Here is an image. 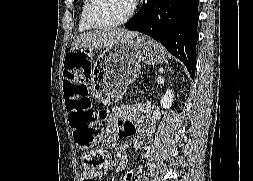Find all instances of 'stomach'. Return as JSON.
<instances>
[{
	"label": "stomach",
	"mask_w": 253,
	"mask_h": 181,
	"mask_svg": "<svg viewBox=\"0 0 253 181\" xmlns=\"http://www.w3.org/2000/svg\"><path fill=\"white\" fill-rule=\"evenodd\" d=\"M166 57L164 48L146 36L107 47L94 65L93 88L97 98L105 104L118 101L140 74L142 62L161 64Z\"/></svg>",
	"instance_id": "obj_1"
}]
</instances>
